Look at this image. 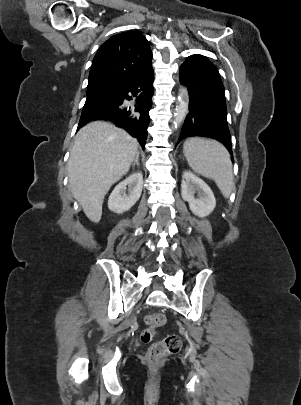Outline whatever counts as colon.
Listing matches in <instances>:
<instances>
[{"mask_svg":"<svg viewBox=\"0 0 301 405\" xmlns=\"http://www.w3.org/2000/svg\"><path fill=\"white\" fill-rule=\"evenodd\" d=\"M147 328L142 331L140 339L144 344H149L153 338V331L165 323V316L160 313L149 314L145 317ZM181 338L176 334L166 336L164 339L150 345L146 358L150 365H158L162 359L171 354H176L181 349Z\"/></svg>","mask_w":301,"mask_h":405,"instance_id":"colon-1","label":"colon"}]
</instances>
